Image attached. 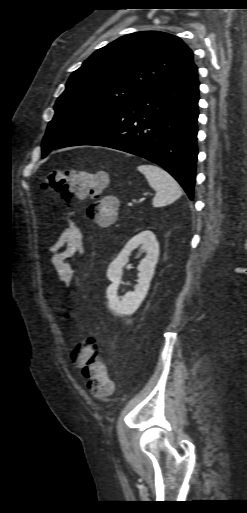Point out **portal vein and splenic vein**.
Instances as JSON below:
<instances>
[{"label": "portal vein and splenic vein", "mask_w": 247, "mask_h": 513, "mask_svg": "<svg viewBox=\"0 0 247 513\" xmlns=\"http://www.w3.org/2000/svg\"><path fill=\"white\" fill-rule=\"evenodd\" d=\"M145 198H141L139 202H143ZM129 205H132V203H129Z\"/></svg>", "instance_id": "18ae733b"}]
</instances>
